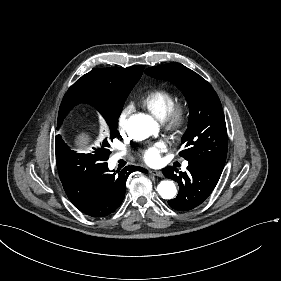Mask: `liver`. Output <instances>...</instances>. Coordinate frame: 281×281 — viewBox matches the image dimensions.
<instances>
[{
	"mask_svg": "<svg viewBox=\"0 0 281 281\" xmlns=\"http://www.w3.org/2000/svg\"><path fill=\"white\" fill-rule=\"evenodd\" d=\"M89 142L90 138L89 135L82 132L76 137V145H77V150H87L89 147Z\"/></svg>",
	"mask_w": 281,
	"mask_h": 281,
	"instance_id": "6515ba94",
	"label": "liver"
}]
</instances>
